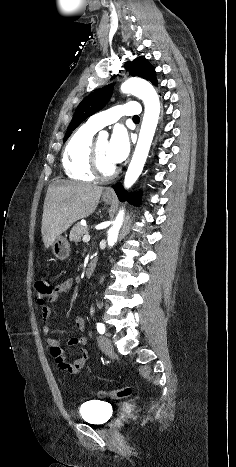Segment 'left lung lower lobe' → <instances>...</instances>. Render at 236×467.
<instances>
[{
	"instance_id": "left-lung-lower-lobe-1",
	"label": "left lung lower lobe",
	"mask_w": 236,
	"mask_h": 467,
	"mask_svg": "<svg viewBox=\"0 0 236 467\" xmlns=\"http://www.w3.org/2000/svg\"><path fill=\"white\" fill-rule=\"evenodd\" d=\"M114 190L119 198L120 201H123V200H126L127 199V194L125 191H123V187L120 185V184H116L114 186ZM140 201V195L139 194H135L133 196H131L130 198V203L131 204H134V205H137Z\"/></svg>"
}]
</instances>
